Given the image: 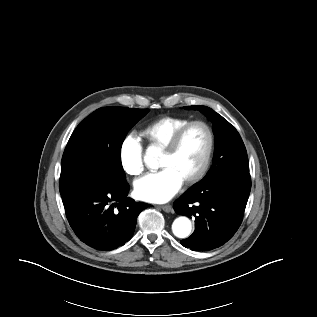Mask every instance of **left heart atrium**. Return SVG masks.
<instances>
[{
	"instance_id": "left-heart-atrium-1",
	"label": "left heart atrium",
	"mask_w": 317,
	"mask_h": 317,
	"mask_svg": "<svg viewBox=\"0 0 317 317\" xmlns=\"http://www.w3.org/2000/svg\"><path fill=\"white\" fill-rule=\"evenodd\" d=\"M183 182V179L172 168L166 167L137 180L135 193L141 200L164 203L179 191Z\"/></svg>"
}]
</instances>
